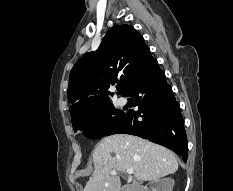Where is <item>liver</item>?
Wrapping results in <instances>:
<instances>
[{
    "label": "liver",
    "instance_id": "1",
    "mask_svg": "<svg viewBox=\"0 0 233 191\" xmlns=\"http://www.w3.org/2000/svg\"><path fill=\"white\" fill-rule=\"evenodd\" d=\"M94 171L83 191H120V176L112 170L133 169L139 181H155L178 170L175 154L148 140L127 134L103 138L92 153Z\"/></svg>",
    "mask_w": 233,
    "mask_h": 191
}]
</instances>
